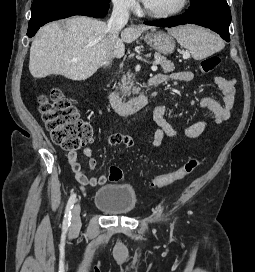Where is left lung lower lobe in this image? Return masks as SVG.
<instances>
[{"mask_svg":"<svg viewBox=\"0 0 255 272\" xmlns=\"http://www.w3.org/2000/svg\"><path fill=\"white\" fill-rule=\"evenodd\" d=\"M230 22L231 12L226 0H193L190 8L181 16L144 23L160 27L197 24L210 28L229 42Z\"/></svg>","mask_w":255,"mask_h":272,"instance_id":"left-lung-lower-lobe-1","label":"left lung lower lobe"}]
</instances>
